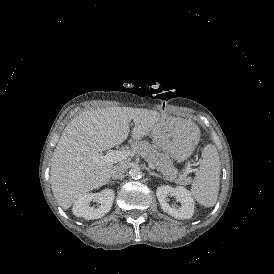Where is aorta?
<instances>
[{"instance_id":"1","label":"aorta","mask_w":274,"mask_h":274,"mask_svg":"<svg viewBox=\"0 0 274 274\" xmlns=\"http://www.w3.org/2000/svg\"><path fill=\"white\" fill-rule=\"evenodd\" d=\"M129 175L132 179H140L142 177V171L139 167H132L129 171Z\"/></svg>"}]
</instances>
